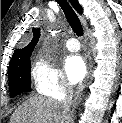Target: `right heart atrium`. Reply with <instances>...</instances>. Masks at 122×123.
<instances>
[{"instance_id":"right-heart-atrium-1","label":"right heart atrium","mask_w":122,"mask_h":123,"mask_svg":"<svg viewBox=\"0 0 122 123\" xmlns=\"http://www.w3.org/2000/svg\"><path fill=\"white\" fill-rule=\"evenodd\" d=\"M31 77L35 91L40 95L61 98L72 91L60 68L48 57L38 56L33 60Z\"/></svg>"}]
</instances>
